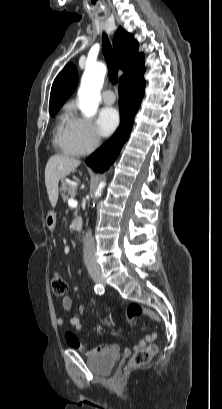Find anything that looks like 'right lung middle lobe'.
Masks as SVG:
<instances>
[{"label":"right lung middle lobe","instance_id":"1","mask_svg":"<svg viewBox=\"0 0 222 409\" xmlns=\"http://www.w3.org/2000/svg\"><path fill=\"white\" fill-rule=\"evenodd\" d=\"M57 112H58V110H56V111H51L50 113H51L52 116H54Z\"/></svg>","mask_w":222,"mask_h":409}]
</instances>
